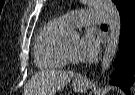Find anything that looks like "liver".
<instances>
[{"label": "liver", "instance_id": "obj_1", "mask_svg": "<svg viewBox=\"0 0 135 95\" xmlns=\"http://www.w3.org/2000/svg\"><path fill=\"white\" fill-rule=\"evenodd\" d=\"M74 77L73 72L46 70L35 74L24 88L25 95H54Z\"/></svg>", "mask_w": 135, "mask_h": 95}]
</instances>
